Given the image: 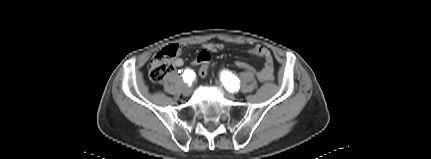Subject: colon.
Listing matches in <instances>:
<instances>
[{"label":"colon","mask_w":431,"mask_h":159,"mask_svg":"<svg viewBox=\"0 0 431 159\" xmlns=\"http://www.w3.org/2000/svg\"><path fill=\"white\" fill-rule=\"evenodd\" d=\"M176 46H169L158 52L150 61L148 65L149 77L155 82L159 83L163 81L165 76L172 71L173 63L172 59L177 54ZM212 63V54L208 51H201L198 53L195 59L189 60V67L191 69H197L198 67V80L203 81L209 74V65ZM234 67L236 69L248 70L253 73L256 80H260L261 76L257 73L256 68L244 63L242 61H235Z\"/></svg>","instance_id":"5ec220e1"}]
</instances>
